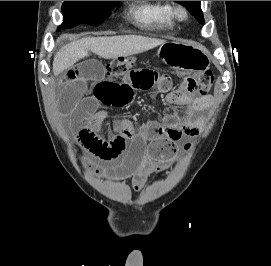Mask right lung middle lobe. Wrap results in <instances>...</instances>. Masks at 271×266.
Wrapping results in <instances>:
<instances>
[{
	"label": "right lung middle lobe",
	"mask_w": 271,
	"mask_h": 266,
	"mask_svg": "<svg viewBox=\"0 0 271 266\" xmlns=\"http://www.w3.org/2000/svg\"><path fill=\"white\" fill-rule=\"evenodd\" d=\"M118 1H64L63 23L58 28H72L82 23L97 26L105 20Z\"/></svg>",
	"instance_id": "right-lung-middle-lobe-1"
}]
</instances>
